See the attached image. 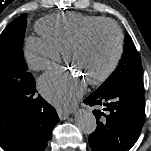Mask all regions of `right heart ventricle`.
<instances>
[{"label":"right heart ventricle","mask_w":151,"mask_h":151,"mask_svg":"<svg viewBox=\"0 0 151 151\" xmlns=\"http://www.w3.org/2000/svg\"><path fill=\"white\" fill-rule=\"evenodd\" d=\"M105 19L74 12L53 14L40 19L36 28L44 40L63 51L65 45L86 27Z\"/></svg>","instance_id":"e07e8e85"}]
</instances>
